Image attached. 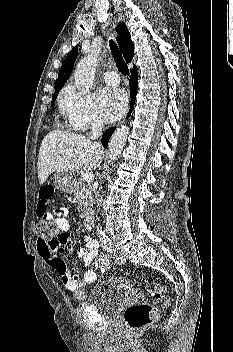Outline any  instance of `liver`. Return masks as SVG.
<instances>
[{
    "mask_svg": "<svg viewBox=\"0 0 233 352\" xmlns=\"http://www.w3.org/2000/svg\"><path fill=\"white\" fill-rule=\"evenodd\" d=\"M101 145L84 135L51 131L43 139L39 151L37 170L43 184L53 172L74 173L96 169L103 160Z\"/></svg>",
    "mask_w": 233,
    "mask_h": 352,
    "instance_id": "6515ba94",
    "label": "liver"
}]
</instances>
